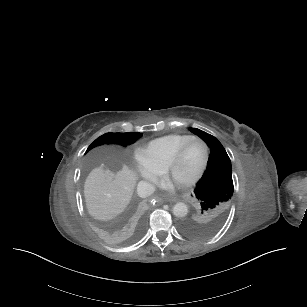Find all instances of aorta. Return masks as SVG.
I'll list each match as a JSON object with an SVG mask.
<instances>
[{
    "label": "aorta",
    "instance_id": "1",
    "mask_svg": "<svg viewBox=\"0 0 307 307\" xmlns=\"http://www.w3.org/2000/svg\"><path fill=\"white\" fill-rule=\"evenodd\" d=\"M188 213V207L185 203L183 202H178L174 205L173 207V214L176 216V217H185Z\"/></svg>",
    "mask_w": 307,
    "mask_h": 307
}]
</instances>
